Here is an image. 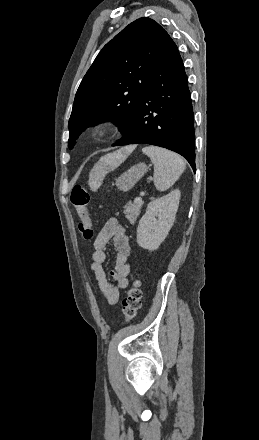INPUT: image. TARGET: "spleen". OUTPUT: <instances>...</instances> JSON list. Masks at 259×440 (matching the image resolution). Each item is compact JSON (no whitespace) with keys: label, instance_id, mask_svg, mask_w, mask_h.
Listing matches in <instances>:
<instances>
[{"label":"spleen","instance_id":"1","mask_svg":"<svg viewBox=\"0 0 259 440\" xmlns=\"http://www.w3.org/2000/svg\"><path fill=\"white\" fill-rule=\"evenodd\" d=\"M142 152L150 157L154 165V184L161 192L172 187L185 170L184 160L167 149L148 146Z\"/></svg>","mask_w":259,"mask_h":440}]
</instances>
